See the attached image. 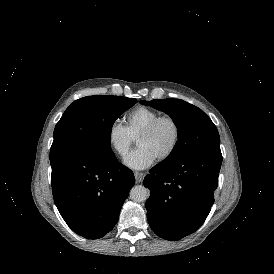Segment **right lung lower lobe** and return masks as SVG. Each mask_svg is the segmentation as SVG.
Here are the masks:
<instances>
[{
	"mask_svg": "<svg viewBox=\"0 0 274 274\" xmlns=\"http://www.w3.org/2000/svg\"><path fill=\"white\" fill-rule=\"evenodd\" d=\"M51 167L54 201L68 226L88 239L110 232L135 184L133 172L113 152L66 156Z\"/></svg>",
	"mask_w": 274,
	"mask_h": 274,
	"instance_id": "obj_1",
	"label": "right lung lower lobe"
}]
</instances>
